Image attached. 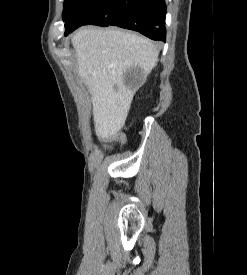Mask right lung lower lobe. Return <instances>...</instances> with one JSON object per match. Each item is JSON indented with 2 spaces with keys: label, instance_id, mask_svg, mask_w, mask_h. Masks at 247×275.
Here are the masks:
<instances>
[{
  "label": "right lung lower lobe",
  "instance_id": "1",
  "mask_svg": "<svg viewBox=\"0 0 247 275\" xmlns=\"http://www.w3.org/2000/svg\"><path fill=\"white\" fill-rule=\"evenodd\" d=\"M165 15L164 0H102L82 13L65 36L82 25L93 24L131 29L165 41Z\"/></svg>",
  "mask_w": 247,
  "mask_h": 275
}]
</instances>
